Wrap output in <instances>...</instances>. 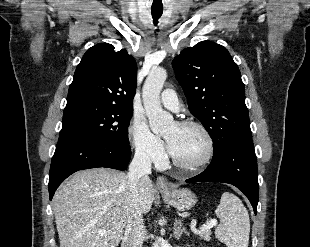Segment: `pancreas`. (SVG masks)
<instances>
[{
    "label": "pancreas",
    "instance_id": "pancreas-1",
    "mask_svg": "<svg viewBox=\"0 0 310 247\" xmlns=\"http://www.w3.org/2000/svg\"><path fill=\"white\" fill-rule=\"evenodd\" d=\"M211 234H212L211 230L206 229L204 231L199 232L198 236L201 239H204L206 241H210L211 240Z\"/></svg>",
    "mask_w": 310,
    "mask_h": 247
}]
</instances>
